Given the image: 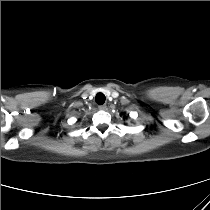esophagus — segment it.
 I'll use <instances>...</instances> for the list:
<instances>
[{
  "label": "esophagus",
  "instance_id": "1",
  "mask_svg": "<svg viewBox=\"0 0 210 210\" xmlns=\"http://www.w3.org/2000/svg\"><path fill=\"white\" fill-rule=\"evenodd\" d=\"M98 108L100 110H106L107 106L105 104H103V105H100Z\"/></svg>",
  "mask_w": 210,
  "mask_h": 210
}]
</instances>
